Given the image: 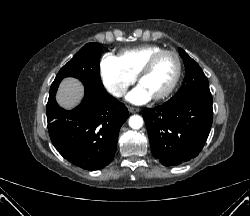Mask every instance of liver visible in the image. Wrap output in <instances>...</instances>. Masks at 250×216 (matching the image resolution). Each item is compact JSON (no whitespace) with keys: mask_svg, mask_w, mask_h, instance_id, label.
Segmentation results:
<instances>
[{"mask_svg":"<svg viewBox=\"0 0 250 216\" xmlns=\"http://www.w3.org/2000/svg\"><path fill=\"white\" fill-rule=\"evenodd\" d=\"M83 96V86L73 78H66L60 85L57 101L64 108L74 107Z\"/></svg>","mask_w":250,"mask_h":216,"instance_id":"liver-1","label":"liver"}]
</instances>
